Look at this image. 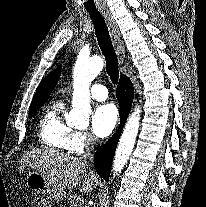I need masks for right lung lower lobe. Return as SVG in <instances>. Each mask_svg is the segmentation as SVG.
<instances>
[{"instance_id": "1", "label": "right lung lower lobe", "mask_w": 206, "mask_h": 207, "mask_svg": "<svg viewBox=\"0 0 206 207\" xmlns=\"http://www.w3.org/2000/svg\"><path fill=\"white\" fill-rule=\"evenodd\" d=\"M117 99L120 106V126L118 131L109 139V141L99 147L94 156V165L97 173L106 181L109 179L113 156L121 135L124 123L131 109L134 90L130 79L122 75L116 89Z\"/></svg>"}]
</instances>
